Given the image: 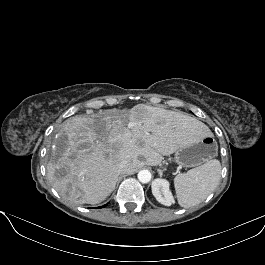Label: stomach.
<instances>
[{"instance_id": "0dacf381", "label": "stomach", "mask_w": 265, "mask_h": 265, "mask_svg": "<svg viewBox=\"0 0 265 265\" xmlns=\"http://www.w3.org/2000/svg\"><path fill=\"white\" fill-rule=\"evenodd\" d=\"M216 143L210 135L185 143L175 151V161L183 167H196L214 157Z\"/></svg>"}]
</instances>
